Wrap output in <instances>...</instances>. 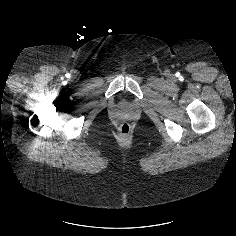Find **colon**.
<instances>
[{
    "instance_id": "obj_1",
    "label": "colon",
    "mask_w": 236,
    "mask_h": 236,
    "mask_svg": "<svg viewBox=\"0 0 236 236\" xmlns=\"http://www.w3.org/2000/svg\"><path fill=\"white\" fill-rule=\"evenodd\" d=\"M119 133L123 137H128L132 131V126L128 122H122L118 127Z\"/></svg>"
}]
</instances>
